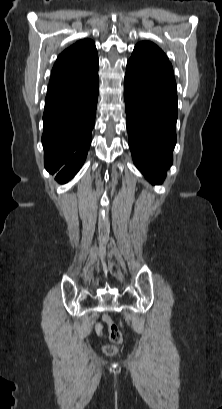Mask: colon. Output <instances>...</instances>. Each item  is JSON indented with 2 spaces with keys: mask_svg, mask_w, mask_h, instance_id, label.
I'll return each mask as SVG.
<instances>
[{
  "mask_svg": "<svg viewBox=\"0 0 222 409\" xmlns=\"http://www.w3.org/2000/svg\"><path fill=\"white\" fill-rule=\"evenodd\" d=\"M104 321L108 324L110 340L113 343L112 345L107 346L105 351L108 354H115L118 349L117 347L123 343V336L118 326L112 323L107 315L104 316Z\"/></svg>",
  "mask_w": 222,
  "mask_h": 409,
  "instance_id": "1",
  "label": "colon"
}]
</instances>
